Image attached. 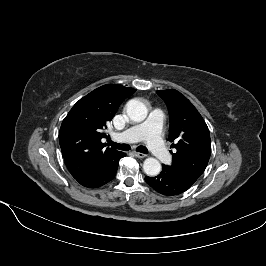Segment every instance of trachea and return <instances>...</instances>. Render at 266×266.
Masks as SVG:
<instances>
[{"mask_svg":"<svg viewBox=\"0 0 266 266\" xmlns=\"http://www.w3.org/2000/svg\"><path fill=\"white\" fill-rule=\"evenodd\" d=\"M108 145L112 146V147H114L116 149L123 150V151H128L130 149L129 145H127V144H119V143H115V142H112V141H109ZM136 150L138 152L143 153V154H147L148 153V150L144 146H138L136 148Z\"/></svg>","mask_w":266,"mask_h":266,"instance_id":"obj_1","label":"trachea"}]
</instances>
